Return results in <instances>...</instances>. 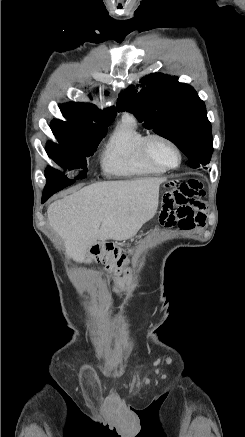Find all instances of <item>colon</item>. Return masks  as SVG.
Returning <instances> with one entry per match:
<instances>
[{
    "instance_id": "obj_1",
    "label": "colon",
    "mask_w": 245,
    "mask_h": 437,
    "mask_svg": "<svg viewBox=\"0 0 245 437\" xmlns=\"http://www.w3.org/2000/svg\"><path fill=\"white\" fill-rule=\"evenodd\" d=\"M164 226V224H160ZM126 255L113 244H105L94 252L93 263L104 264L110 272L120 274L127 269Z\"/></svg>"
}]
</instances>
